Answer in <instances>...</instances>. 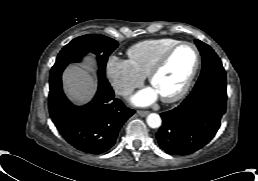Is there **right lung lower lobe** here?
<instances>
[{"label": "right lung lower lobe", "mask_w": 258, "mask_h": 181, "mask_svg": "<svg viewBox=\"0 0 258 181\" xmlns=\"http://www.w3.org/2000/svg\"><path fill=\"white\" fill-rule=\"evenodd\" d=\"M66 66L55 63L50 72V116L71 146L86 153H104L114 146L120 128L135 111L115 98L105 75L99 77L94 99L85 106H74L62 91L61 75Z\"/></svg>", "instance_id": "98d812e1"}]
</instances>
